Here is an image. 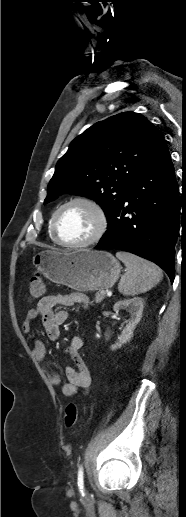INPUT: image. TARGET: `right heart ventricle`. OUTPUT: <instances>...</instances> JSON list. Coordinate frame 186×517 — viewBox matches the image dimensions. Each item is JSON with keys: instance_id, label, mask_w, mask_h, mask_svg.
I'll return each instance as SVG.
<instances>
[{"instance_id": "1", "label": "right heart ventricle", "mask_w": 186, "mask_h": 517, "mask_svg": "<svg viewBox=\"0 0 186 517\" xmlns=\"http://www.w3.org/2000/svg\"><path fill=\"white\" fill-rule=\"evenodd\" d=\"M51 220H52V218L49 220V224H48V232H49V236H50V238H51L53 241H55V240H54V237H53V235H52V231H51Z\"/></svg>"}]
</instances>
